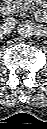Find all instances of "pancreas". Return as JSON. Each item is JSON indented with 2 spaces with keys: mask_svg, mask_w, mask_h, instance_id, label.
<instances>
[{
  "mask_svg": "<svg viewBox=\"0 0 47 129\" xmlns=\"http://www.w3.org/2000/svg\"><path fill=\"white\" fill-rule=\"evenodd\" d=\"M32 0H14L13 4L16 9V12H23L29 9L30 3Z\"/></svg>",
  "mask_w": 47,
  "mask_h": 129,
  "instance_id": "obj_1",
  "label": "pancreas"
}]
</instances>
